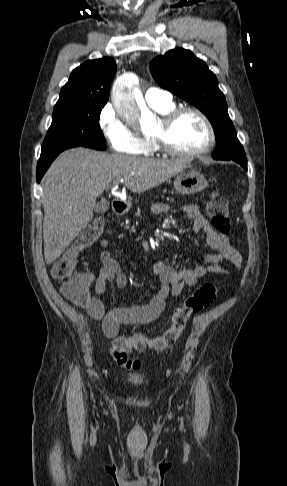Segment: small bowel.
Returning <instances> with one entry per match:
<instances>
[{"mask_svg":"<svg viewBox=\"0 0 287 486\" xmlns=\"http://www.w3.org/2000/svg\"><path fill=\"white\" fill-rule=\"evenodd\" d=\"M183 210L186 216L193 221V231L204 233L206 244L212 252L204 257L201 264L180 269L161 260L154 261L153 272L159 279V289L146 304L105 310L101 297L107 284L114 281L118 287L122 288L127 284V275L109 251V240L100 241L102 267L94 278L93 293L90 295L85 309L94 320L101 321L104 335L107 338H115L122 325H142L155 321L163 312L169 296H179L185 286L196 285L199 279L206 274H228L232 269L240 267L241 255L230 244L229 238L215 232L196 205H186ZM152 211L156 215H162L168 211V206L157 203L153 205ZM224 263H227L228 266H225Z\"/></svg>","mask_w":287,"mask_h":486,"instance_id":"1","label":"small bowel"}]
</instances>
